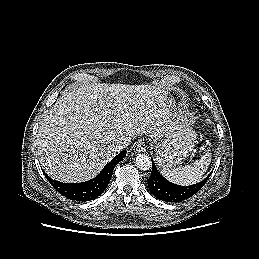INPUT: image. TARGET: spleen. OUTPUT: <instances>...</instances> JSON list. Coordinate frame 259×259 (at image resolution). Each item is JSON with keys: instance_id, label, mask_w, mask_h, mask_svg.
Masks as SVG:
<instances>
[{"instance_id": "3e777b00", "label": "spleen", "mask_w": 259, "mask_h": 259, "mask_svg": "<svg viewBox=\"0 0 259 259\" xmlns=\"http://www.w3.org/2000/svg\"><path fill=\"white\" fill-rule=\"evenodd\" d=\"M211 152H207L194 163L177 168H163L161 174L170 182L191 185L201 180L211 163Z\"/></svg>"}]
</instances>
